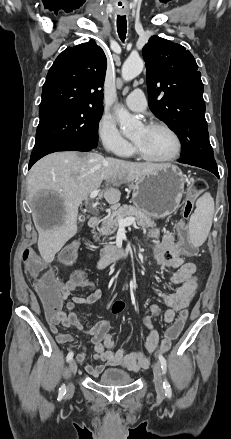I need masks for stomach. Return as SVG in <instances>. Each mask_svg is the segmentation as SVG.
I'll use <instances>...</instances> for the list:
<instances>
[{
    "mask_svg": "<svg viewBox=\"0 0 231 439\" xmlns=\"http://www.w3.org/2000/svg\"><path fill=\"white\" fill-rule=\"evenodd\" d=\"M186 176L174 165L157 169L135 181L131 186L135 208L153 218H165L178 208Z\"/></svg>",
    "mask_w": 231,
    "mask_h": 439,
    "instance_id": "stomach-1",
    "label": "stomach"
}]
</instances>
